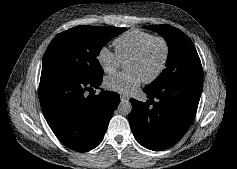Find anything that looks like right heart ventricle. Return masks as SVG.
Masks as SVG:
<instances>
[{
    "label": "right heart ventricle",
    "mask_w": 237,
    "mask_h": 169,
    "mask_svg": "<svg viewBox=\"0 0 237 169\" xmlns=\"http://www.w3.org/2000/svg\"><path fill=\"white\" fill-rule=\"evenodd\" d=\"M152 37H154V35L146 31L130 30L115 38L113 44L120 60L126 61Z\"/></svg>",
    "instance_id": "right-heart-ventricle-1"
}]
</instances>
